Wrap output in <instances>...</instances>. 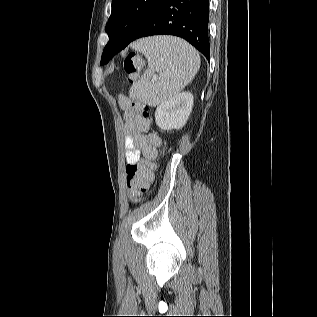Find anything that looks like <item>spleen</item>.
Here are the masks:
<instances>
[{"instance_id": "obj_1", "label": "spleen", "mask_w": 317, "mask_h": 317, "mask_svg": "<svg viewBox=\"0 0 317 317\" xmlns=\"http://www.w3.org/2000/svg\"><path fill=\"white\" fill-rule=\"evenodd\" d=\"M132 48L146 57L148 69L132 85L129 94L150 106L160 105L177 95L193 80L200 67L198 52L176 37L143 38L134 42Z\"/></svg>"}]
</instances>
